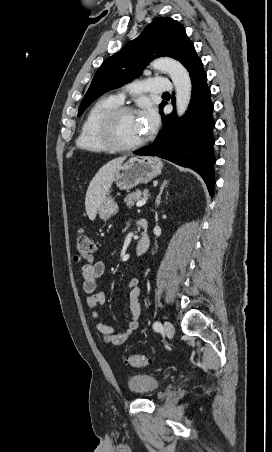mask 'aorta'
I'll list each match as a JSON object with an SVG mask.
<instances>
[{"label": "aorta", "instance_id": "1", "mask_svg": "<svg viewBox=\"0 0 272 452\" xmlns=\"http://www.w3.org/2000/svg\"><path fill=\"white\" fill-rule=\"evenodd\" d=\"M151 67L169 74L175 87L177 114L182 116L191 99L192 84L188 71L179 61L167 57L154 60Z\"/></svg>", "mask_w": 272, "mask_h": 452}]
</instances>
